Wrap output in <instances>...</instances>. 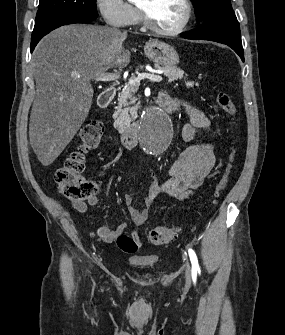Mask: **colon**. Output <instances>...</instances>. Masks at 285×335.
<instances>
[{
    "label": "colon",
    "instance_id": "5ec220e1",
    "mask_svg": "<svg viewBox=\"0 0 285 335\" xmlns=\"http://www.w3.org/2000/svg\"><path fill=\"white\" fill-rule=\"evenodd\" d=\"M218 106L230 117L236 114V106L230 95L219 92L216 95ZM103 125L99 121H91L85 124L79 131L80 144L70 154L64 164L55 172V182L61 193L72 201L83 202L98 191V185L94 181L87 180L82 176L85 169V155L89 150L96 148L103 135ZM237 158V149L233 148L225 171L216 185L214 196L219 198L226 190L230 176ZM178 229L166 225L157 226L148 231V239L154 245H163L173 240ZM117 246L125 253H135L139 244L134 237L122 233L117 237Z\"/></svg>",
    "mask_w": 285,
    "mask_h": 335
}]
</instances>
